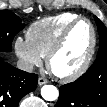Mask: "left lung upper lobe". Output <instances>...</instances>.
I'll return each instance as SVG.
<instances>
[{
  "label": "left lung upper lobe",
  "instance_id": "left-lung-upper-lobe-1",
  "mask_svg": "<svg viewBox=\"0 0 107 107\" xmlns=\"http://www.w3.org/2000/svg\"><path fill=\"white\" fill-rule=\"evenodd\" d=\"M95 21L98 26V32L100 36V48L99 51H103L104 56H105V61L107 63V28L105 25L95 16ZM85 74H83L80 78L78 79H85Z\"/></svg>",
  "mask_w": 107,
  "mask_h": 107
}]
</instances>
